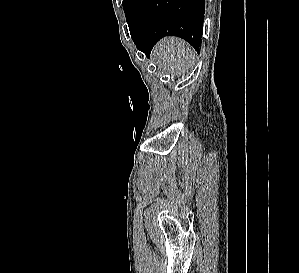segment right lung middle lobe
Segmentation results:
<instances>
[{"label":"right lung middle lobe","mask_w":299,"mask_h":273,"mask_svg":"<svg viewBox=\"0 0 299 273\" xmlns=\"http://www.w3.org/2000/svg\"><path fill=\"white\" fill-rule=\"evenodd\" d=\"M134 1L135 0H123V8L125 11L126 19H128L129 15H130L132 4Z\"/></svg>","instance_id":"dd1d6c3e"}]
</instances>
